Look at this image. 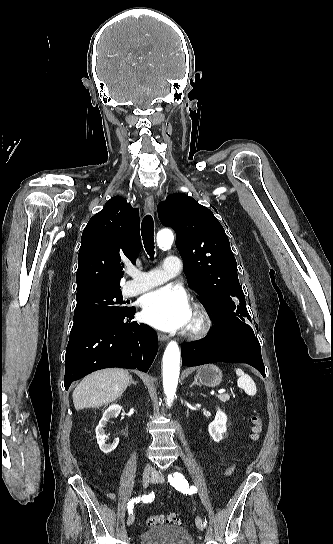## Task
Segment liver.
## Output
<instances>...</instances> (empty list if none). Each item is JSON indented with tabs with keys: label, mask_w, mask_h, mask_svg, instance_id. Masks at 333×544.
<instances>
[{
	"label": "liver",
	"mask_w": 333,
	"mask_h": 544,
	"mask_svg": "<svg viewBox=\"0 0 333 544\" xmlns=\"http://www.w3.org/2000/svg\"><path fill=\"white\" fill-rule=\"evenodd\" d=\"M129 372L119 368L104 369L86 376L73 392L76 410L100 407L115 401L130 382Z\"/></svg>",
	"instance_id": "obj_1"
}]
</instances>
